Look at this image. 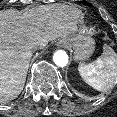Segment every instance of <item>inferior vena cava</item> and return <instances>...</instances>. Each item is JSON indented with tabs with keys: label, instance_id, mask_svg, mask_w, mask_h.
<instances>
[{
	"label": "inferior vena cava",
	"instance_id": "inferior-vena-cava-1",
	"mask_svg": "<svg viewBox=\"0 0 117 117\" xmlns=\"http://www.w3.org/2000/svg\"><path fill=\"white\" fill-rule=\"evenodd\" d=\"M29 52H30V54H32V55H36V54H38L39 49H38V47H36V46H32V47H30Z\"/></svg>",
	"mask_w": 117,
	"mask_h": 117
}]
</instances>
